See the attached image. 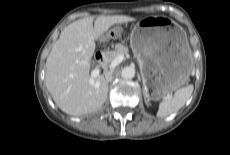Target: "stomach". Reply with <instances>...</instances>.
Returning a JSON list of instances; mask_svg holds the SVG:
<instances>
[{
  "label": "stomach",
  "mask_w": 230,
  "mask_h": 155,
  "mask_svg": "<svg viewBox=\"0 0 230 155\" xmlns=\"http://www.w3.org/2000/svg\"><path fill=\"white\" fill-rule=\"evenodd\" d=\"M130 47L142 75L144 96L158 101L185 85L193 68L187 35L164 16L140 19L133 27Z\"/></svg>",
  "instance_id": "0dacf381"
}]
</instances>
